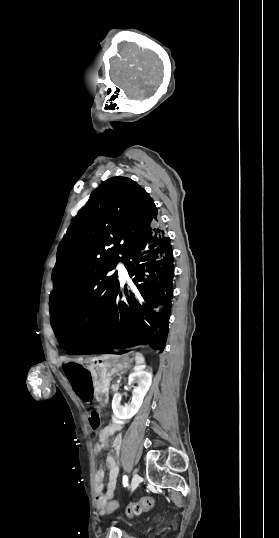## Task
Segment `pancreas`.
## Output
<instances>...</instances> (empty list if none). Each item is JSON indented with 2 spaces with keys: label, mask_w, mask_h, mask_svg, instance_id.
I'll use <instances>...</instances> for the list:
<instances>
[{
  "label": "pancreas",
  "mask_w": 279,
  "mask_h": 538,
  "mask_svg": "<svg viewBox=\"0 0 279 538\" xmlns=\"http://www.w3.org/2000/svg\"><path fill=\"white\" fill-rule=\"evenodd\" d=\"M110 384L115 388V389H118L120 388V383H118V381L116 379H112L110 381Z\"/></svg>",
  "instance_id": "obj_1"
}]
</instances>
